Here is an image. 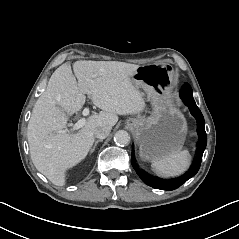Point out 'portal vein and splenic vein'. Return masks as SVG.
<instances>
[{
  "instance_id": "1",
  "label": "portal vein and splenic vein",
  "mask_w": 239,
  "mask_h": 239,
  "mask_svg": "<svg viewBox=\"0 0 239 239\" xmlns=\"http://www.w3.org/2000/svg\"><path fill=\"white\" fill-rule=\"evenodd\" d=\"M82 114H83V116H88L89 115V108H84ZM85 124H86V119L82 118L74 124L73 130H78V129L82 128Z\"/></svg>"
}]
</instances>
